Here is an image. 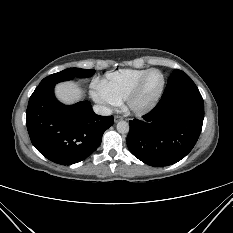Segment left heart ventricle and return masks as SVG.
<instances>
[{"label": "left heart ventricle", "mask_w": 233, "mask_h": 233, "mask_svg": "<svg viewBox=\"0 0 233 233\" xmlns=\"http://www.w3.org/2000/svg\"><path fill=\"white\" fill-rule=\"evenodd\" d=\"M162 78L158 72L151 73L145 80L139 103H146L155 96L161 86Z\"/></svg>", "instance_id": "b2bd125f"}]
</instances>
